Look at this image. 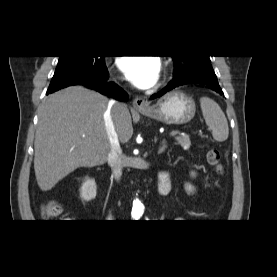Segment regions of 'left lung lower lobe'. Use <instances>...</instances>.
I'll list each match as a JSON object with an SVG mask.
<instances>
[{"instance_id":"1","label":"left lung lower lobe","mask_w":277,"mask_h":277,"mask_svg":"<svg viewBox=\"0 0 277 277\" xmlns=\"http://www.w3.org/2000/svg\"><path fill=\"white\" fill-rule=\"evenodd\" d=\"M193 83L206 85L207 88H210L213 91H216L217 93L223 95V92L218 84L215 73L209 72V73H201V74L196 73V74H192V75H188V76L176 77L164 89H162L157 94L152 95L151 99L160 97L163 94H165L166 92H168L176 87H179L181 85L193 84Z\"/></svg>"}]
</instances>
